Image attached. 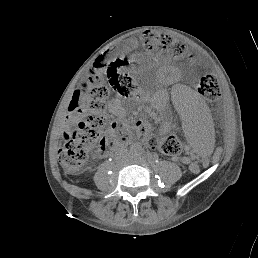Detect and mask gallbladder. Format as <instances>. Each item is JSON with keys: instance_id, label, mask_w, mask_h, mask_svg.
Here are the masks:
<instances>
[{"instance_id": "gallbladder-1", "label": "gallbladder", "mask_w": 258, "mask_h": 258, "mask_svg": "<svg viewBox=\"0 0 258 258\" xmlns=\"http://www.w3.org/2000/svg\"><path fill=\"white\" fill-rule=\"evenodd\" d=\"M69 129H70V130L76 129V125H75V124H70V125H69Z\"/></svg>"}]
</instances>
